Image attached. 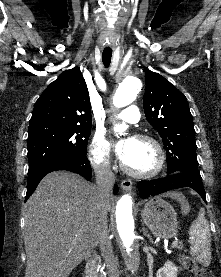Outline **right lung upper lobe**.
Listing matches in <instances>:
<instances>
[{"mask_svg":"<svg viewBox=\"0 0 221 277\" xmlns=\"http://www.w3.org/2000/svg\"><path fill=\"white\" fill-rule=\"evenodd\" d=\"M45 124H92L89 93L78 67L64 71L36 101L29 126Z\"/></svg>","mask_w":221,"mask_h":277,"instance_id":"cb5924a9","label":"right lung upper lobe"}]
</instances>
